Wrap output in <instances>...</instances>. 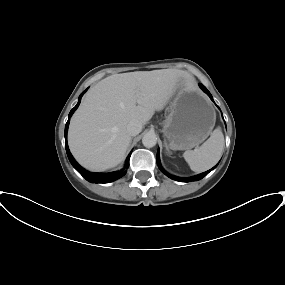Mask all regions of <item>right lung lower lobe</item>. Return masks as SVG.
I'll return each instance as SVG.
<instances>
[{
	"mask_svg": "<svg viewBox=\"0 0 285 285\" xmlns=\"http://www.w3.org/2000/svg\"><path fill=\"white\" fill-rule=\"evenodd\" d=\"M86 91V90H85ZM84 91V92H85ZM84 92L80 95L79 97V101L77 103V105L70 111L69 113V119L66 123L65 126V147H66V152H67V156L69 158V161L71 162L72 166L89 182L91 183H109V182H113L119 178H121L126 171H116V172H110V173H92L89 172L87 170H85L84 168H82L73 158V156L71 155L69 148H68V144H67V130H68V125H69V121H70V117L72 116L73 112L77 109V107L80 104L81 101V97L84 94ZM131 153L128 155L127 159H126V163H125V167H129V159H130Z\"/></svg>",
	"mask_w": 285,
	"mask_h": 285,
	"instance_id": "1",
	"label": "right lung lower lobe"
}]
</instances>
